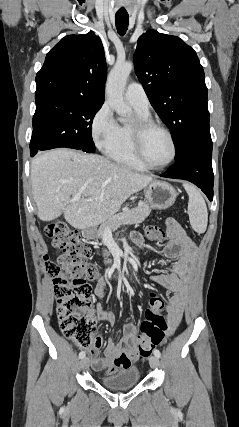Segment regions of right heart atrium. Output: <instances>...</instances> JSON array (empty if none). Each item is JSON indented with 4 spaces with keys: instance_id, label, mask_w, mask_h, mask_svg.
<instances>
[{
    "instance_id": "right-heart-atrium-1",
    "label": "right heart atrium",
    "mask_w": 239,
    "mask_h": 427,
    "mask_svg": "<svg viewBox=\"0 0 239 427\" xmlns=\"http://www.w3.org/2000/svg\"><path fill=\"white\" fill-rule=\"evenodd\" d=\"M91 134L97 148L105 153L116 143L119 125L108 104H103L94 115Z\"/></svg>"
}]
</instances>
